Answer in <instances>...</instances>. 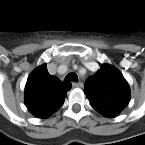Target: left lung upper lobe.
<instances>
[{
    "label": "left lung upper lobe",
    "instance_id": "5c2ea615",
    "mask_svg": "<svg viewBox=\"0 0 145 145\" xmlns=\"http://www.w3.org/2000/svg\"><path fill=\"white\" fill-rule=\"evenodd\" d=\"M84 93L101 115L114 118L130 102V88L123 75L113 66L103 64L85 83Z\"/></svg>",
    "mask_w": 145,
    "mask_h": 145
}]
</instances>
